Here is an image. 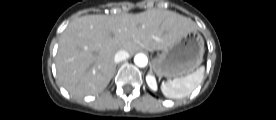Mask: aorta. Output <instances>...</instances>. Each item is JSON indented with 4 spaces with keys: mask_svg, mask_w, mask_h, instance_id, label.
Instances as JSON below:
<instances>
[{
    "mask_svg": "<svg viewBox=\"0 0 276 120\" xmlns=\"http://www.w3.org/2000/svg\"><path fill=\"white\" fill-rule=\"evenodd\" d=\"M134 63L138 66V67H145L148 64V58L145 54L143 53H138L135 55L134 57Z\"/></svg>",
    "mask_w": 276,
    "mask_h": 120,
    "instance_id": "762f6f07",
    "label": "aorta"
}]
</instances>
